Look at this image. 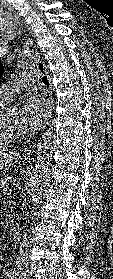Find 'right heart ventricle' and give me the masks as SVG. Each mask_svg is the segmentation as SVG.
<instances>
[{
  "label": "right heart ventricle",
  "instance_id": "1",
  "mask_svg": "<svg viewBox=\"0 0 113 279\" xmlns=\"http://www.w3.org/2000/svg\"><path fill=\"white\" fill-rule=\"evenodd\" d=\"M7 100H8V98L0 93V106H2L4 103H6ZM3 144H4V141L0 139V146H2Z\"/></svg>",
  "mask_w": 113,
  "mask_h": 279
}]
</instances>
